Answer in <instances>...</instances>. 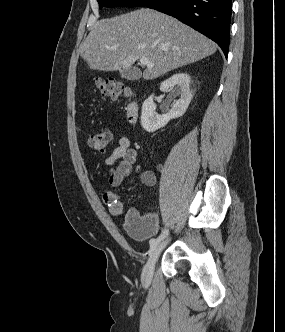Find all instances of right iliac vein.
<instances>
[{"label": "right iliac vein", "mask_w": 285, "mask_h": 332, "mask_svg": "<svg viewBox=\"0 0 285 332\" xmlns=\"http://www.w3.org/2000/svg\"><path fill=\"white\" fill-rule=\"evenodd\" d=\"M170 241L169 238L165 239L162 243H160L156 249L153 251L151 254L150 258L148 259L147 263L145 264L143 271H142V282L144 284H149L152 280L154 269H155V264L158 260V257L161 253V251L165 248V246L168 244Z\"/></svg>", "instance_id": "right-iliac-vein-1"}]
</instances>
